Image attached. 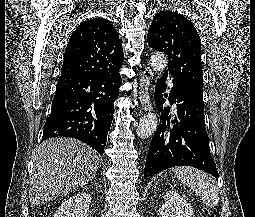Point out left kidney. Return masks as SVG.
Returning a JSON list of instances; mask_svg holds the SVG:
<instances>
[{"mask_svg":"<svg viewBox=\"0 0 255 217\" xmlns=\"http://www.w3.org/2000/svg\"><path fill=\"white\" fill-rule=\"evenodd\" d=\"M161 217H195L191 205L175 190L165 194V204L160 208Z\"/></svg>","mask_w":255,"mask_h":217,"instance_id":"left-kidney-1","label":"left kidney"}]
</instances>
